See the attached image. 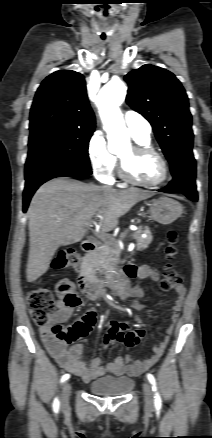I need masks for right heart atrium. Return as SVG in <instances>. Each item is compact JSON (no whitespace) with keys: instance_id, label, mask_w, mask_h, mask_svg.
I'll return each mask as SVG.
<instances>
[{"instance_id":"1","label":"right heart atrium","mask_w":212,"mask_h":438,"mask_svg":"<svg viewBox=\"0 0 212 438\" xmlns=\"http://www.w3.org/2000/svg\"><path fill=\"white\" fill-rule=\"evenodd\" d=\"M87 157L94 176L103 182L113 177L116 168V157L109 151L103 134L99 131L92 134L87 145Z\"/></svg>"}]
</instances>
